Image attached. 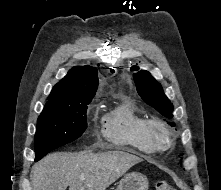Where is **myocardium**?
<instances>
[{
    "instance_id": "myocardium-1",
    "label": "myocardium",
    "mask_w": 221,
    "mask_h": 190,
    "mask_svg": "<svg viewBox=\"0 0 221 190\" xmlns=\"http://www.w3.org/2000/svg\"><path fill=\"white\" fill-rule=\"evenodd\" d=\"M144 135L146 141L154 150H164L173 144L172 131L163 120L156 117L146 119Z\"/></svg>"
}]
</instances>
